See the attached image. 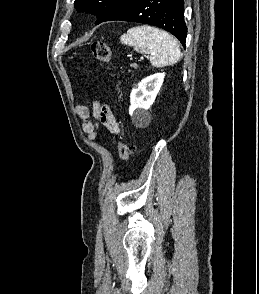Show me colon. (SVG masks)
Returning a JSON list of instances; mask_svg holds the SVG:
<instances>
[{
    "label": "colon",
    "instance_id": "obj_1",
    "mask_svg": "<svg viewBox=\"0 0 259 294\" xmlns=\"http://www.w3.org/2000/svg\"><path fill=\"white\" fill-rule=\"evenodd\" d=\"M91 50L97 61L108 64L112 59V51L109 45L103 41H94L91 44ZM119 156L123 162H128L134 151V147L125 140H120L118 144Z\"/></svg>",
    "mask_w": 259,
    "mask_h": 294
}]
</instances>
